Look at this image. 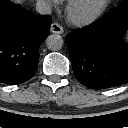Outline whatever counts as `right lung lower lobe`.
Listing matches in <instances>:
<instances>
[{
	"label": "right lung lower lobe",
	"instance_id": "obj_1",
	"mask_svg": "<svg viewBox=\"0 0 128 128\" xmlns=\"http://www.w3.org/2000/svg\"><path fill=\"white\" fill-rule=\"evenodd\" d=\"M50 16H38L0 0V82L29 80L38 66L39 46L50 32Z\"/></svg>",
	"mask_w": 128,
	"mask_h": 128
}]
</instances>
